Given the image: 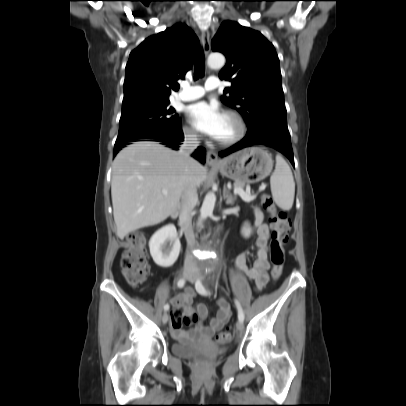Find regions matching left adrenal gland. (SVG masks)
<instances>
[{"instance_id":"1","label":"left adrenal gland","mask_w":406,"mask_h":406,"mask_svg":"<svg viewBox=\"0 0 406 406\" xmlns=\"http://www.w3.org/2000/svg\"><path fill=\"white\" fill-rule=\"evenodd\" d=\"M223 198H224V200H226L227 205L234 204L235 198L229 195V191L227 190L226 185H224V188H223Z\"/></svg>"}]
</instances>
